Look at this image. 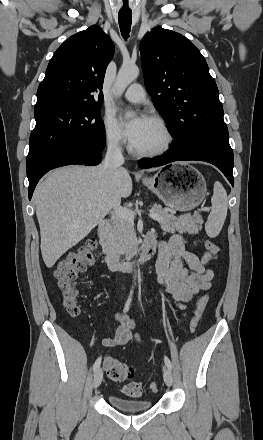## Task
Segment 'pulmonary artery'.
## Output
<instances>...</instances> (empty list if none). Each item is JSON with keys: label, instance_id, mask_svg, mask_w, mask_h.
<instances>
[{"label": "pulmonary artery", "instance_id": "e3ab8cb5", "mask_svg": "<svg viewBox=\"0 0 263 440\" xmlns=\"http://www.w3.org/2000/svg\"><path fill=\"white\" fill-rule=\"evenodd\" d=\"M124 97L132 103H140L145 99L146 93L140 84L135 83L128 87L124 93Z\"/></svg>", "mask_w": 263, "mask_h": 440}]
</instances>
